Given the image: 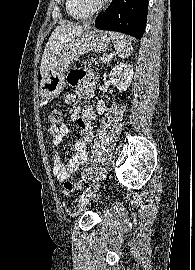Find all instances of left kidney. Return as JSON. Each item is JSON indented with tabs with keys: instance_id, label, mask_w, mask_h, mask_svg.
<instances>
[{
	"instance_id": "obj_1",
	"label": "left kidney",
	"mask_w": 195,
	"mask_h": 270,
	"mask_svg": "<svg viewBox=\"0 0 195 270\" xmlns=\"http://www.w3.org/2000/svg\"><path fill=\"white\" fill-rule=\"evenodd\" d=\"M133 78V68L130 64L121 63L115 66L110 74V81L117 87V89L122 92L125 91L130 85ZM98 114H103L106 110L105 102L99 100L96 106Z\"/></svg>"
}]
</instances>
